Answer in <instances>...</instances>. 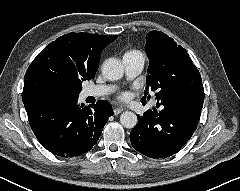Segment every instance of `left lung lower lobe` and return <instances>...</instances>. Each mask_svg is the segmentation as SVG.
Returning <instances> with one entry per match:
<instances>
[{"label": "left lung lower lobe", "mask_w": 240, "mask_h": 191, "mask_svg": "<svg viewBox=\"0 0 240 191\" xmlns=\"http://www.w3.org/2000/svg\"><path fill=\"white\" fill-rule=\"evenodd\" d=\"M203 102V85L194 84L185 95L137 115L139 121L130 133L132 146L157 159L177 153L195 132Z\"/></svg>", "instance_id": "left-lung-lower-lobe-1"}]
</instances>
